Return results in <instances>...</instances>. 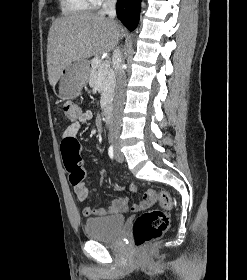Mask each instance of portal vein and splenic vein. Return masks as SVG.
Listing matches in <instances>:
<instances>
[{"instance_id": "1", "label": "portal vein and splenic vein", "mask_w": 247, "mask_h": 280, "mask_svg": "<svg viewBox=\"0 0 247 280\" xmlns=\"http://www.w3.org/2000/svg\"><path fill=\"white\" fill-rule=\"evenodd\" d=\"M108 67H110V64L108 61H103L102 64L100 65V70L104 71L106 70Z\"/></svg>"}]
</instances>
